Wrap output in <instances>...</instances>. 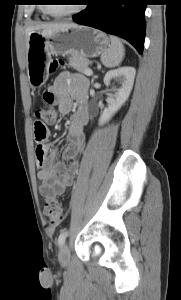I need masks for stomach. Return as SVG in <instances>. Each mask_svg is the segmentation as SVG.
I'll return each mask as SVG.
<instances>
[{"label":"stomach","instance_id":"0dacf381","mask_svg":"<svg viewBox=\"0 0 181 300\" xmlns=\"http://www.w3.org/2000/svg\"><path fill=\"white\" fill-rule=\"evenodd\" d=\"M110 46L107 35L83 25H75L51 35L32 32L27 46V74L33 86L48 78L51 55L77 54L84 59L97 57Z\"/></svg>","mask_w":181,"mask_h":300}]
</instances>
